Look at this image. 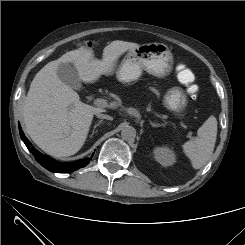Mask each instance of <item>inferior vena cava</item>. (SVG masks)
Listing matches in <instances>:
<instances>
[{"instance_id": "obj_1", "label": "inferior vena cava", "mask_w": 245, "mask_h": 245, "mask_svg": "<svg viewBox=\"0 0 245 245\" xmlns=\"http://www.w3.org/2000/svg\"><path fill=\"white\" fill-rule=\"evenodd\" d=\"M96 116H97V118H100V119H107V120H112L113 119L111 116L106 115V114H102L100 112H97Z\"/></svg>"}]
</instances>
